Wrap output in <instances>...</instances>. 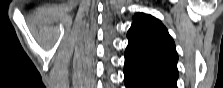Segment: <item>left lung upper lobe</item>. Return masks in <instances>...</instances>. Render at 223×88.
Segmentation results:
<instances>
[{"label":"left lung upper lobe","mask_w":223,"mask_h":88,"mask_svg":"<svg viewBox=\"0 0 223 88\" xmlns=\"http://www.w3.org/2000/svg\"><path fill=\"white\" fill-rule=\"evenodd\" d=\"M127 38L126 65L177 80L175 43L158 19L144 13L136 14Z\"/></svg>","instance_id":"obj_1"}]
</instances>
